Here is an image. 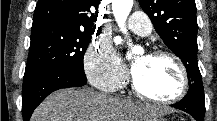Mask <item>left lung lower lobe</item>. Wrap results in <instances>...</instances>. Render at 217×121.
Listing matches in <instances>:
<instances>
[{"label": "left lung lower lobe", "mask_w": 217, "mask_h": 121, "mask_svg": "<svg viewBox=\"0 0 217 121\" xmlns=\"http://www.w3.org/2000/svg\"><path fill=\"white\" fill-rule=\"evenodd\" d=\"M171 106L189 113L196 121L204 119L205 107L199 104L197 95L193 91H189L180 102Z\"/></svg>", "instance_id": "1"}]
</instances>
